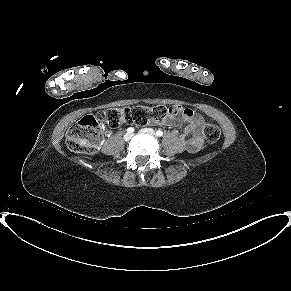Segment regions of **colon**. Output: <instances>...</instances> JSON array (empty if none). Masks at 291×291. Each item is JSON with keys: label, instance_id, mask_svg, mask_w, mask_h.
<instances>
[{"label": "colon", "instance_id": "colon-1", "mask_svg": "<svg viewBox=\"0 0 291 291\" xmlns=\"http://www.w3.org/2000/svg\"><path fill=\"white\" fill-rule=\"evenodd\" d=\"M179 112L178 106L109 108L99 113L86 115L71 127L66 134V145L71 151L93 154L99 146L100 126L102 124L113 126L120 123L145 125L152 121L160 122L166 117L177 115ZM203 130L209 143H215L219 140L221 131L216 124L206 122Z\"/></svg>", "mask_w": 291, "mask_h": 291}]
</instances>
